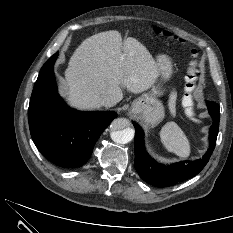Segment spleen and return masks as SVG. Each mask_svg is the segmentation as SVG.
Masks as SVG:
<instances>
[{
  "label": "spleen",
  "mask_w": 233,
  "mask_h": 233,
  "mask_svg": "<svg viewBox=\"0 0 233 233\" xmlns=\"http://www.w3.org/2000/svg\"><path fill=\"white\" fill-rule=\"evenodd\" d=\"M186 112L189 116L192 115L191 108H187ZM160 138L169 152L175 153L182 158L189 157L191 153L189 140L175 122H168L162 127Z\"/></svg>",
  "instance_id": "3e777b00"
}]
</instances>
